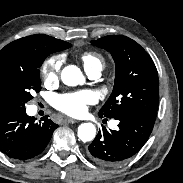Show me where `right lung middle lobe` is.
<instances>
[{"label": "right lung middle lobe", "instance_id": "1", "mask_svg": "<svg viewBox=\"0 0 183 183\" xmlns=\"http://www.w3.org/2000/svg\"><path fill=\"white\" fill-rule=\"evenodd\" d=\"M46 54H33L22 68L0 74V105L9 108H25L33 98L31 93L39 92L41 81L39 68Z\"/></svg>", "mask_w": 183, "mask_h": 183}]
</instances>
